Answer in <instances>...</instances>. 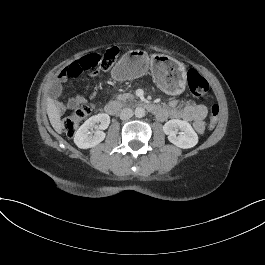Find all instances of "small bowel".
<instances>
[{
	"mask_svg": "<svg viewBox=\"0 0 265 265\" xmlns=\"http://www.w3.org/2000/svg\"><path fill=\"white\" fill-rule=\"evenodd\" d=\"M97 75V72H93L92 76ZM61 93V86L58 83H54L50 88V94L53 99ZM86 102V99L82 95H76L67 99L66 103L57 102V111L62 113L67 109H73ZM208 109L203 104L182 103L177 100L171 101L166 108H163V114L159 116L160 119H180L187 122H191L195 131L199 134L205 130V118L207 116Z\"/></svg>",
	"mask_w": 265,
	"mask_h": 265,
	"instance_id": "obj_1",
	"label": "small bowel"
}]
</instances>
